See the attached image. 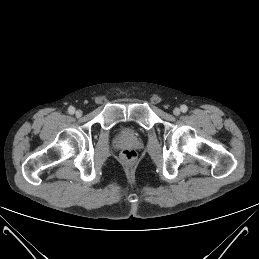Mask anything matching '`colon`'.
<instances>
[{
  "instance_id": "colon-1",
  "label": "colon",
  "mask_w": 259,
  "mask_h": 259,
  "mask_svg": "<svg viewBox=\"0 0 259 259\" xmlns=\"http://www.w3.org/2000/svg\"><path fill=\"white\" fill-rule=\"evenodd\" d=\"M121 158L124 162L128 163V164H131L135 161L136 159V152L133 151V150H124L122 151L121 153Z\"/></svg>"
}]
</instances>
